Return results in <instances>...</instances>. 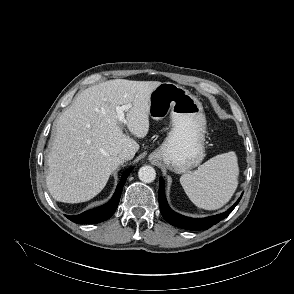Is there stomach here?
Returning <instances> with one entry per match:
<instances>
[{
  "label": "stomach",
  "mask_w": 294,
  "mask_h": 294,
  "mask_svg": "<svg viewBox=\"0 0 294 294\" xmlns=\"http://www.w3.org/2000/svg\"><path fill=\"white\" fill-rule=\"evenodd\" d=\"M169 112L171 131L149 159L181 174L198 166L205 156L206 118L194 95L177 84L164 82L149 96V115L160 120Z\"/></svg>",
  "instance_id": "obj_1"
}]
</instances>
